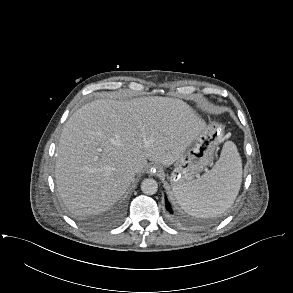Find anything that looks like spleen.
<instances>
[{"label":"spleen","mask_w":293,"mask_h":293,"mask_svg":"<svg viewBox=\"0 0 293 293\" xmlns=\"http://www.w3.org/2000/svg\"><path fill=\"white\" fill-rule=\"evenodd\" d=\"M242 161L236 145L227 141L213 168L174 191L181 208L196 217H214L229 209L240 190Z\"/></svg>","instance_id":"3e777b00"}]
</instances>
